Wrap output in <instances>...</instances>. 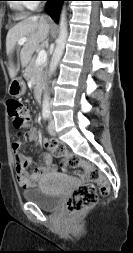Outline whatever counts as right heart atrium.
I'll return each mask as SVG.
<instances>
[{
  "label": "right heart atrium",
  "mask_w": 133,
  "mask_h": 253,
  "mask_svg": "<svg viewBox=\"0 0 133 253\" xmlns=\"http://www.w3.org/2000/svg\"><path fill=\"white\" fill-rule=\"evenodd\" d=\"M36 5L35 0H28V2L26 3V6L28 8H33Z\"/></svg>",
  "instance_id": "obj_1"
}]
</instances>
